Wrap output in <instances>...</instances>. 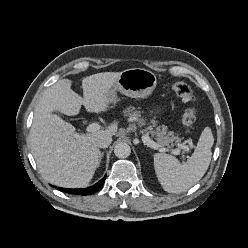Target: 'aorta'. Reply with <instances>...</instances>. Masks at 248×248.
Returning a JSON list of instances; mask_svg holds the SVG:
<instances>
[{
  "mask_svg": "<svg viewBox=\"0 0 248 248\" xmlns=\"http://www.w3.org/2000/svg\"><path fill=\"white\" fill-rule=\"evenodd\" d=\"M131 153L130 146L125 142H120L114 147V154L118 158H127Z\"/></svg>",
  "mask_w": 248,
  "mask_h": 248,
  "instance_id": "obj_1",
  "label": "aorta"
}]
</instances>
